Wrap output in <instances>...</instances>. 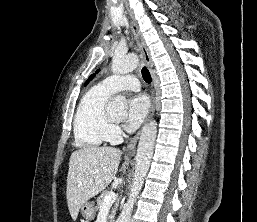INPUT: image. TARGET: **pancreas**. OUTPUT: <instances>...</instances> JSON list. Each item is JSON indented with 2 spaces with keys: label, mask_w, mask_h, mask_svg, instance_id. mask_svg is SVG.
<instances>
[{
  "label": "pancreas",
  "mask_w": 257,
  "mask_h": 222,
  "mask_svg": "<svg viewBox=\"0 0 257 222\" xmlns=\"http://www.w3.org/2000/svg\"><path fill=\"white\" fill-rule=\"evenodd\" d=\"M108 195H110V192L107 191V190H105V191H103V192L101 193V195L97 198V206H96V210H97V211L101 210V206H102V204H103V202H104V198H105L106 196H108ZM117 206H118V205L116 204L114 207H112V211H111V214H110V216H109V222H114L115 215H116V210H117Z\"/></svg>",
  "instance_id": "1"
}]
</instances>
